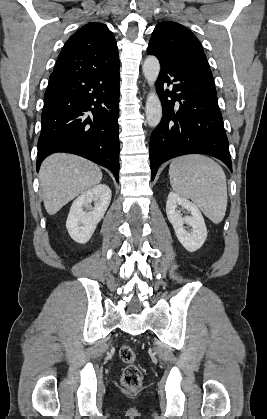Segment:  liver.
I'll return each instance as SVG.
<instances>
[{"mask_svg": "<svg viewBox=\"0 0 267 419\" xmlns=\"http://www.w3.org/2000/svg\"><path fill=\"white\" fill-rule=\"evenodd\" d=\"M39 179L45 209L54 215L75 197L99 184L102 172L84 158L58 153L43 161Z\"/></svg>", "mask_w": 267, "mask_h": 419, "instance_id": "obj_1", "label": "liver"}]
</instances>
